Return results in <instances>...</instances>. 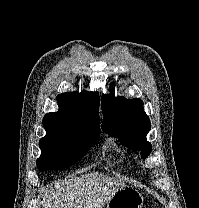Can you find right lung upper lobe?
<instances>
[{"instance_id":"1","label":"right lung upper lobe","mask_w":199,"mask_h":208,"mask_svg":"<svg viewBox=\"0 0 199 208\" xmlns=\"http://www.w3.org/2000/svg\"><path fill=\"white\" fill-rule=\"evenodd\" d=\"M59 110L43 118L45 128L57 130H100L99 97L97 93L82 91L57 96Z\"/></svg>"}]
</instances>
